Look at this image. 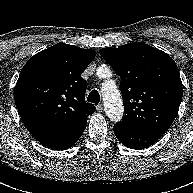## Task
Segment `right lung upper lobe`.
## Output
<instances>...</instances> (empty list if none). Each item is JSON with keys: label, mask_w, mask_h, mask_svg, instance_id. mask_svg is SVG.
I'll return each instance as SVG.
<instances>
[{"label": "right lung upper lobe", "mask_w": 193, "mask_h": 193, "mask_svg": "<svg viewBox=\"0 0 193 193\" xmlns=\"http://www.w3.org/2000/svg\"><path fill=\"white\" fill-rule=\"evenodd\" d=\"M95 51L56 44L35 54L22 68L15 103L26 128L39 142L65 137L85 127L95 106L85 102L81 73Z\"/></svg>", "instance_id": "right-lung-upper-lobe-1"}]
</instances>
